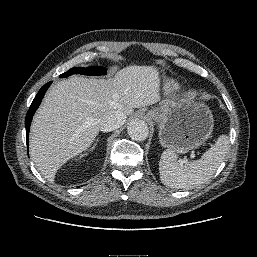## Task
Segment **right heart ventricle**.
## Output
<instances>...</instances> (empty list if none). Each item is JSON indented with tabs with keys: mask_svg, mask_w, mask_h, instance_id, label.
<instances>
[{
	"mask_svg": "<svg viewBox=\"0 0 257 257\" xmlns=\"http://www.w3.org/2000/svg\"><path fill=\"white\" fill-rule=\"evenodd\" d=\"M167 88L169 91H176L178 89V86L175 83H169Z\"/></svg>",
	"mask_w": 257,
	"mask_h": 257,
	"instance_id": "e07e8e85",
	"label": "right heart ventricle"
}]
</instances>
